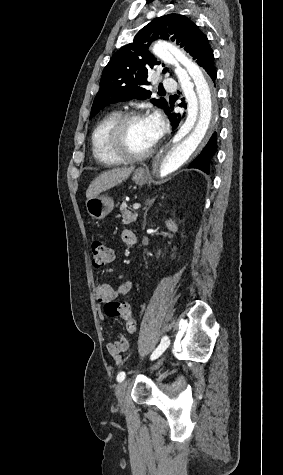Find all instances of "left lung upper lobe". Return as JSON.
Wrapping results in <instances>:
<instances>
[{"instance_id": "obj_1", "label": "left lung upper lobe", "mask_w": 283, "mask_h": 475, "mask_svg": "<svg viewBox=\"0 0 283 475\" xmlns=\"http://www.w3.org/2000/svg\"><path fill=\"white\" fill-rule=\"evenodd\" d=\"M157 38L175 40L196 59L199 66L212 54L205 34L187 17L169 14L154 19L136 34L133 43L117 51L104 68L90 118L110 103L150 98L151 92L143 88V85L149 84L148 71L160 64L148 51L150 43ZM166 71L167 68L163 73ZM150 101L163 109L168 105L164 98H153Z\"/></svg>"}]
</instances>
